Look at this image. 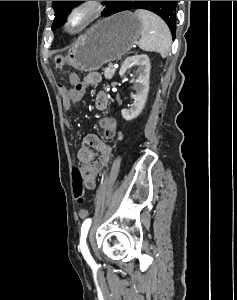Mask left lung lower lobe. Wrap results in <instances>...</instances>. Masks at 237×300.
<instances>
[{
	"instance_id": "obj_1",
	"label": "left lung lower lobe",
	"mask_w": 237,
	"mask_h": 300,
	"mask_svg": "<svg viewBox=\"0 0 237 300\" xmlns=\"http://www.w3.org/2000/svg\"><path fill=\"white\" fill-rule=\"evenodd\" d=\"M117 5H118V2L117 3H115L113 6H112V8H111V10H110V15H112V14H114V13H117ZM109 16V15H108ZM175 38V34H173V39Z\"/></svg>"
}]
</instances>
